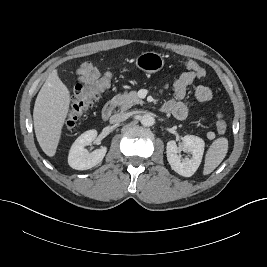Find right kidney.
<instances>
[{
  "mask_svg": "<svg viewBox=\"0 0 267 267\" xmlns=\"http://www.w3.org/2000/svg\"><path fill=\"white\" fill-rule=\"evenodd\" d=\"M97 137L96 130H89L81 134L73 143L68 156V164L76 170H87L98 165L104 158L107 148L101 147L89 153L85 146Z\"/></svg>",
  "mask_w": 267,
  "mask_h": 267,
  "instance_id": "right-kidney-1",
  "label": "right kidney"
}]
</instances>
